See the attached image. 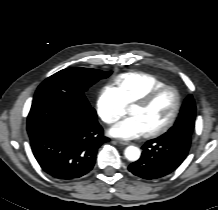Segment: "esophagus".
Listing matches in <instances>:
<instances>
[{"instance_id":"esophagus-1","label":"esophagus","mask_w":218,"mask_h":210,"mask_svg":"<svg viewBox=\"0 0 218 210\" xmlns=\"http://www.w3.org/2000/svg\"><path fill=\"white\" fill-rule=\"evenodd\" d=\"M116 141H117L119 144H121V145H129V144H130L129 141H124V140H121V139H117Z\"/></svg>"}]
</instances>
